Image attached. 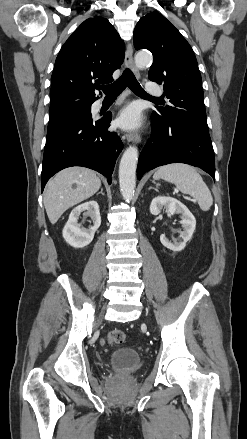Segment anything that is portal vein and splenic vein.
<instances>
[{
	"label": "portal vein and splenic vein",
	"mask_w": 247,
	"mask_h": 439,
	"mask_svg": "<svg viewBox=\"0 0 247 439\" xmlns=\"http://www.w3.org/2000/svg\"><path fill=\"white\" fill-rule=\"evenodd\" d=\"M185 198H186L187 200H189V199H190V198H189V197H187V196H186Z\"/></svg>",
	"instance_id": "obj_1"
}]
</instances>
